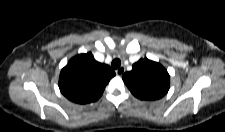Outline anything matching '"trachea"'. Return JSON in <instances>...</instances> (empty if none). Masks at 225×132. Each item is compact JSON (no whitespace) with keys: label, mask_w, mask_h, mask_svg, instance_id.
Wrapping results in <instances>:
<instances>
[{"label":"trachea","mask_w":225,"mask_h":132,"mask_svg":"<svg viewBox=\"0 0 225 132\" xmlns=\"http://www.w3.org/2000/svg\"><path fill=\"white\" fill-rule=\"evenodd\" d=\"M113 69H118L121 66L120 59H114L111 63Z\"/></svg>","instance_id":"obj_1"}]
</instances>
